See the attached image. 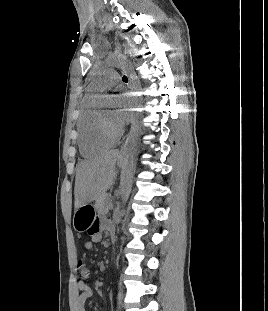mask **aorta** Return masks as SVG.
<instances>
[{"label": "aorta", "mask_w": 268, "mask_h": 311, "mask_svg": "<svg viewBox=\"0 0 268 311\" xmlns=\"http://www.w3.org/2000/svg\"><path fill=\"white\" fill-rule=\"evenodd\" d=\"M105 67H118L124 68V72L128 76V82L131 83L130 90L131 96V122L130 127L133 128L126 152V163L120 176V195L122 199V209L118 212V219L125 214V205L132 190V182L135 169V161L138 155L139 142H140V127L142 124V99L143 87L142 79H139V72L137 65H129V60L124 55H112L105 64ZM108 96H101L100 101L103 104H108Z\"/></svg>", "instance_id": "762f6f07"}]
</instances>
